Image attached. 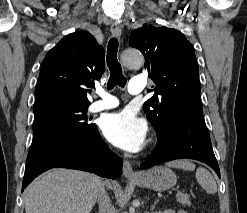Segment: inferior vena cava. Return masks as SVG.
Masks as SVG:
<instances>
[{"label":"inferior vena cava","instance_id":"602c4592","mask_svg":"<svg viewBox=\"0 0 247 213\" xmlns=\"http://www.w3.org/2000/svg\"><path fill=\"white\" fill-rule=\"evenodd\" d=\"M108 182H102L98 190L99 213H116L115 208L111 204V200L105 190Z\"/></svg>","mask_w":247,"mask_h":213}]
</instances>
